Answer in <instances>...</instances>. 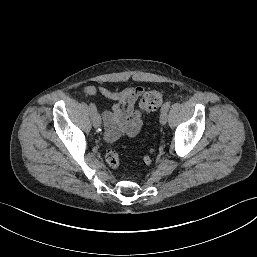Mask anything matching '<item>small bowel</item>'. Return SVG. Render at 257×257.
Wrapping results in <instances>:
<instances>
[{
    "label": "small bowel",
    "mask_w": 257,
    "mask_h": 257,
    "mask_svg": "<svg viewBox=\"0 0 257 257\" xmlns=\"http://www.w3.org/2000/svg\"><path fill=\"white\" fill-rule=\"evenodd\" d=\"M82 92L85 95H100L116 101L110 109H104L102 112L107 141L113 142L124 134L131 137L139 134L143 121L135 104L146 93L144 87L130 86L120 91H111L103 86L88 85Z\"/></svg>",
    "instance_id": "1"
}]
</instances>
